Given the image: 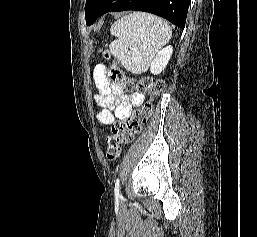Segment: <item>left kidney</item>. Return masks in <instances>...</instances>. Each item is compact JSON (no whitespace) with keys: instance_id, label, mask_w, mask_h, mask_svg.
<instances>
[{"instance_id":"left-kidney-1","label":"left kidney","mask_w":257,"mask_h":237,"mask_svg":"<svg viewBox=\"0 0 257 237\" xmlns=\"http://www.w3.org/2000/svg\"><path fill=\"white\" fill-rule=\"evenodd\" d=\"M172 53H173L172 46H167L162 50H160L156 56V59L151 65L150 72L154 75L160 74L167 66Z\"/></svg>"}]
</instances>
